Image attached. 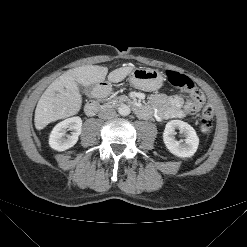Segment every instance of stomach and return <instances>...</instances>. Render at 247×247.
Listing matches in <instances>:
<instances>
[{
    "label": "stomach",
    "instance_id": "0dacf381",
    "mask_svg": "<svg viewBox=\"0 0 247 247\" xmlns=\"http://www.w3.org/2000/svg\"><path fill=\"white\" fill-rule=\"evenodd\" d=\"M129 81L135 88L153 91L162 86L163 74L151 68H135L129 75Z\"/></svg>",
    "mask_w": 247,
    "mask_h": 247
}]
</instances>
